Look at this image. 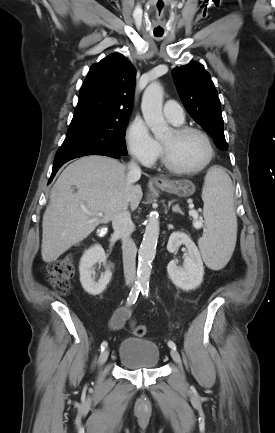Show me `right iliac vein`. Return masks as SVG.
<instances>
[{
    "label": "right iliac vein",
    "instance_id": "obj_1",
    "mask_svg": "<svg viewBox=\"0 0 275 433\" xmlns=\"http://www.w3.org/2000/svg\"><path fill=\"white\" fill-rule=\"evenodd\" d=\"M109 356V349H104L99 356V365H103Z\"/></svg>",
    "mask_w": 275,
    "mask_h": 433
}]
</instances>
